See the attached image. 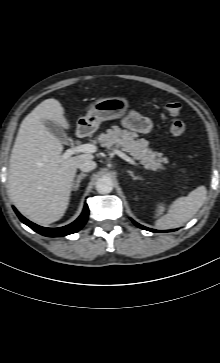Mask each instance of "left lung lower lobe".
Returning a JSON list of instances; mask_svg holds the SVG:
<instances>
[{"label":"left lung lower lobe","instance_id":"obj_1","mask_svg":"<svg viewBox=\"0 0 220 363\" xmlns=\"http://www.w3.org/2000/svg\"><path fill=\"white\" fill-rule=\"evenodd\" d=\"M133 223H134L136 226H138L139 228H141V229L148 230V231H151V232H158V231H156V230H153V229H150V228L144 227V226H142V225H140V224L136 223L135 221H133Z\"/></svg>","mask_w":220,"mask_h":363}]
</instances>
